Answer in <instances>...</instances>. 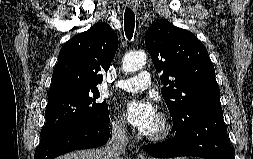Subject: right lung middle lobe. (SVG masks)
Listing matches in <instances>:
<instances>
[{
    "label": "right lung middle lobe",
    "instance_id": "dd1d6c3e",
    "mask_svg": "<svg viewBox=\"0 0 253 159\" xmlns=\"http://www.w3.org/2000/svg\"><path fill=\"white\" fill-rule=\"evenodd\" d=\"M98 90L64 94L48 98L46 124L41 139L79 122L105 123L109 119L108 105L100 102Z\"/></svg>",
    "mask_w": 253,
    "mask_h": 159
}]
</instances>
